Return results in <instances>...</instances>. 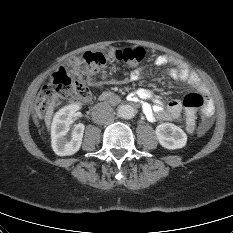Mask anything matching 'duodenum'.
I'll list each match as a JSON object with an SVG mask.
<instances>
[{
    "label": "duodenum",
    "instance_id": "410a0bca",
    "mask_svg": "<svg viewBox=\"0 0 233 233\" xmlns=\"http://www.w3.org/2000/svg\"><path fill=\"white\" fill-rule=\"evenodd\" d=\"M100 100L101 101H108L112 104H118L120 102V98L111 92H103L100 95Z\"/></svg>",
    "mask_w": 233,
    "mask_h": 233
}]
</instances>
